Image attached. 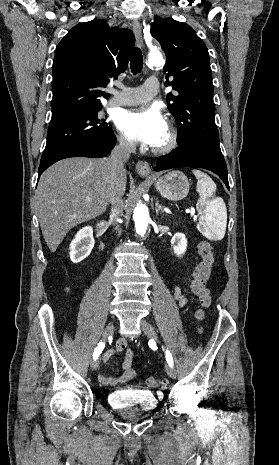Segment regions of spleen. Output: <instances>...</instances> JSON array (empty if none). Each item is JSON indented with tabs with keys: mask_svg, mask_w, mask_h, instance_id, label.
Returning a JSON list of instances; mask_svg holds the SVG:
<instances>
[{
	"mask_svg": "<svg viewBox=\"0 0 279 465\" xmlns=\"http://www.w3.org/2000/svg\"><path fill=\"white\" fill-rule=\"evenodd\" d=\"M197 178V192L200 198L197 201V211L200 214L197 228L205 236L213 240L224 238L227 225V209L222 198H214L216 184L205 173L194 170Z\"/></svg>",
	"mask_w": 279,
	"mask_h": 465,
	"instance_id": "obj_1",
	"label": "spleen"
}]
</instances>
